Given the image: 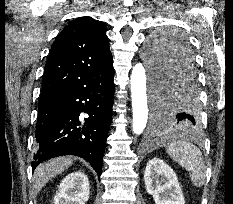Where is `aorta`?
<instances>
[{
    "label": "aorta",
    "instance_id": "obj_1",
    "mask_svg": "<svg viewBox=\"0 0 233 204\" xmlns=\"http://www.w3.org/2000/svg\"><path fill=\"white\" fill-rule=\"evenodd\" d=\"M131 98L133 109V132L141 134L148 120L146 72L142 63L136 64L131 73ZM168 106L162 104L160 110L166 112Z\"/></svg>",
    "mask_w": 233,
    "mask_h": 204
}]
</instances>
